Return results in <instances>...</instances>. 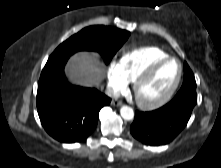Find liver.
<instances>
[{"label": "liver", "mask_w": 221, "mask_h": 168, "mask_svg": "<svg viewBox=\"0 0 221 168\" xmlns=\"http://www.w3.org/2000/svg\"><path fill=\"white\" fill-rule=\"evenodd\" d=\"M68 72L77 84L97 86L103 79L104 70L96 54L80 52L72 57Z\"/></svg>", "instance_id": "obj_1"}]
</instances>
